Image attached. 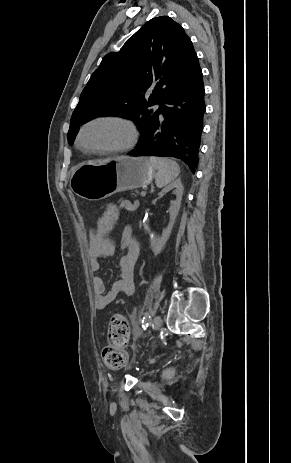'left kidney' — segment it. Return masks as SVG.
I'll return each instance as SVG.
<instances>
[{
    "label": "left kidney",
    "instance_id": "1",
    "mask_svg": "<svg viewBox=\"0 0 291 463\" xmlns=\"http://www.w3.org/2000/svg\"><path fill=\"white\" fill-rule=\"evenodd\" d=\"M172 189H174L173 193L176 194V200L171 204L169 208V224L167 228L163 230L162 236L160 238H156L154 235L150 236V245L155 254H159L165 246L167 240L170 237L175 219L179 213L183 194V185L180 180L174 181L173 183L165 187L159 194H163Z\"/></svg>",
    "mask_w": 291,
    "mask_h": 463
}]
</instances>
